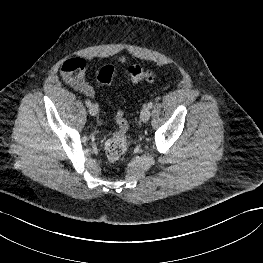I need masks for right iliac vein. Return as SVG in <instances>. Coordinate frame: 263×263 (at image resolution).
I'll return each instance as SVG.
<instances>
[{
	"label": "right iliac vein",
	"instance_id": "1",
	"mask_svg": "<svg viewBox=\"0 0 263 263\" xmlns=\"http://www.w3.org/2000/svg\"><path fill=\"white\" fill-rule=\"evenodd\" d=\"M89 113L92 116H95L98 113V105L97 104H93L89 107Z\"/></svg>",
	"mask_w": 263,
	"mask_h": 263
}]
</instances>
